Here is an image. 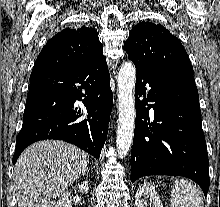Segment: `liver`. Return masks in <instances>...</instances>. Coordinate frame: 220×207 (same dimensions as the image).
I'll use <instances>...</instances> for the list:
<instances>
[{"instance_id":"1","label":"liver","mask_w":220,"mask_h":207,"mask_svg":"<svg viewBox=\"0 0 220 207\" xmlns=\"http://www.w3.org/2000/svg\"><path fill=\"white\" fill-rule=\"evenodd\" d=\"M88 165L87 154L72 144L45 140L30 145L14 167L18 207H52Z\"/></svg>"}]
</instances>
